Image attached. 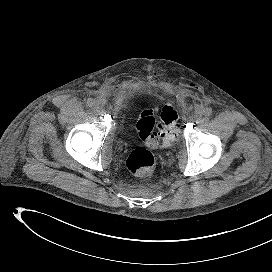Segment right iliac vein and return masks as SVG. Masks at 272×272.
I'll return each instance as SVG.
<instances>
[{
    "label": "right iliac vein",
    "instance_id": "obj_1",
    "mask_svg": "<svg viewBox=\"0 0 272 272\" xmlns=\"http://www.w3.org/2000/svg\"><path fill=\"white\" fill-rule=\"evenodd\" d=\"M95 109L99 112L103 109V103L100 100L95 102Z\"/></svg>",
    "mask_w": 272,
    "mask_h": 272
}]
</instances>
